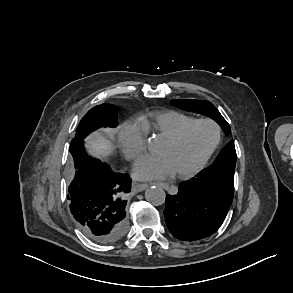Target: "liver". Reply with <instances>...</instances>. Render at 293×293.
<instances>
[{
	"label": "liver",
	"instance_id": "1",
	"mask_svg": "<svg viewBox=\"0 0 293 293\" xmlns=\"http://www.w3.org/2000/svg\"><path fill=\"white\" fill-rule=\"evenodd\" d=\"M85 141L88 152L98 158H104L114 148L112 142L99 132L91 133Z\"/></svg>",
	"mask_w": 293,
	"mask_h": 293
}]
</instances>
